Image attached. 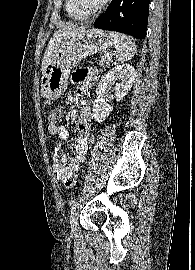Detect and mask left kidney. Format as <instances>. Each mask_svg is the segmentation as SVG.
Returning a JSON list of instances; mask_svg holds the SVG:
<instances>
[{
	"mask_svg": "<svg viewBox=\"0 0 195 270\" xmlns=\"http://www.w3.org/2000/svg\"><path fill=\"white\" fill-rule=\"evenodd\" d=\"M135 77V69L130 64L117 65L102 77L96 88L97 98L93 103V117L96 121H104L113 110V107L106 101L108 87L112 84L116 85L115 99L121 101L131 89Z\"/></svg>",
	"mask_w": 195,
	"mask_h": 270,
	"instance_id": "5707ae66",
	"label": "left kidney"
}]
</instances>
